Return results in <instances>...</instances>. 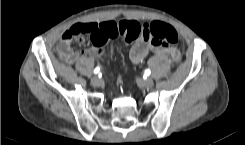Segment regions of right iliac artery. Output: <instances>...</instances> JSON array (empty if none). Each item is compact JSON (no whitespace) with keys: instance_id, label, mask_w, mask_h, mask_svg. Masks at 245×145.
Returning <instances> with one entry per match:
<instances>
[{"instance_id":"82829eb1","label":"right iliac artery","mask_w":245,"mask_h":145,"mask_svg":"<svg viewBox=\"0 0 245 145\" xmlns=\"http://www.w3.org/2000/svg\"><path fill=\"white\" fill-rule=\"evenodd\" d=\"M99 71H100V67H96V68L94 69V73H95V74L99 73Z\"/></svg>"}]
</instances>
